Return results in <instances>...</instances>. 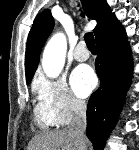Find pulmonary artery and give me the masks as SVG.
<instances>
[{
    "mask_svg": "<svg viewBox=\"0 0 139 150\" xmlns=\"http://www.w3.org/2000/svg\"><path fill=\"white\" fill-rule=\"evenodd\" d=\"M74 58L77 61H85L89 58L90 53L87 50L85 43L84 42H80L78 44V46L76 47V49L74 50Z\"/></svg>",
    "mask_w": 139,
    "mask_h": 150,
    "instance_id": "1",
    "label": "pulmonary artery"
}]
</instances>
